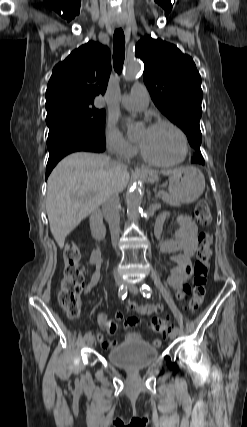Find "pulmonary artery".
<instances>
[{
	"label": "pulmonary artery",
	"instance_id": "e3ab8cb5",
	"mask_svg": "<svg viewBox=\"0 0 247 427\" xmlns=\"http://www.w3.org/2000/svg\"><path fill=\"white\" fill-rule=\"evenodd\" d=\"M120 102L128 109L142 110L149 103V94L144 85L135 84L130 94L121 96Z\"/></svg>",
	"mask_w": 247,
	"mask_h": 427
}]
</instances>
